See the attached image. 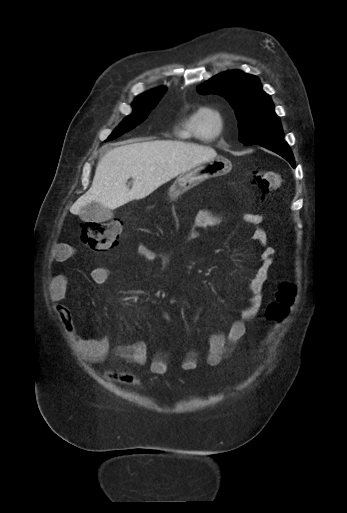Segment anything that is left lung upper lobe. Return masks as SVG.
Instances as JSON below:
<instances>
[{
    "label": "left lung upper lobe",
    "mask_w": 347,
    "mask_h": 513,
    "mask_svg": "<svg viewBox=\"0 0 347 513\" xmlns=\"http://www.w3.org/2000/svg\"><path fill=\"white\" fill-rule=\"evenodd\" d=\"M197 90L222 95L229 101L239 122V141L244 145L283 140L272 100L257 77L232 70L214 76Z\"/></svg>",
    "instance_id": "obj_1"
}]
</instances>
